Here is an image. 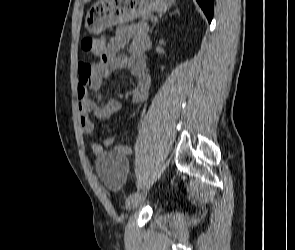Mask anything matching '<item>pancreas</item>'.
Returning <instances> with one entry per match:
<instances>
[{"mask_svg": "<svg viewBox=\"0 0 295 250\" xmlns=\"http://www.w3.org/2000/svg\"><path fill=\"white\" fill-rule=\"evenodd\" d=\"M140 17H141L142 23H146L149 19H151V20L154 19V16L151 14H144V15H141Z\"/></svg>", "mask_w": 295, "mask_h": 250, "instance_id": "cf45deb5", "label": "pancreas"}]
</instances>
